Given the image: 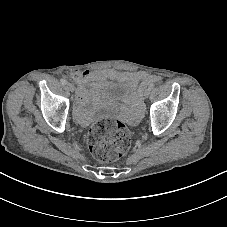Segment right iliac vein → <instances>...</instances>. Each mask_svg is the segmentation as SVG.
I'll return each instance as SVG.
<instances>
[{"label":"right iliac vein","mask_w":227,"mask_h":227,"mask_svg":"<svg viewBox=\"0 0 227 227\" xmlns=\"http://www.w3.org/2000/svg\"><path fill=\"white\" fill-rule=\"evenodd\" d=\"M66 88H67L69 91H71V92H73L74 89H75V87H74V85H73L72 83H68L67 86H66Z\"/></svg>","instance_id":"1"}]
</instances>
